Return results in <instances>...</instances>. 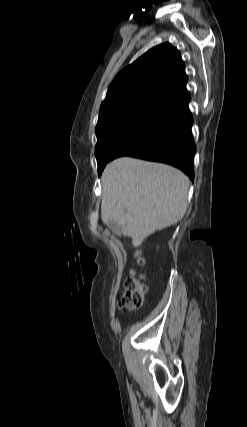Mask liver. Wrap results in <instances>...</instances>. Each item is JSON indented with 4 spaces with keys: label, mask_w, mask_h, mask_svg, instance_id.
<instances>
[{
    "label": "liver",
    "mask_w": 247,
    "mask_h": 427,
    "mask_svg": "<svg viewBox=\"0 0 247 427\" xmlns=\"http://www.w3.org/2000/svg\"><path fill=\"white\" fill-rule=\"evenodd\" d=\"M101 179L102 221L115 222L135 247L186 213L190 181L174 167L122 157L105 167Z\"/></svg>",
    "instance_id": "liver-1"
}]
</instances>
